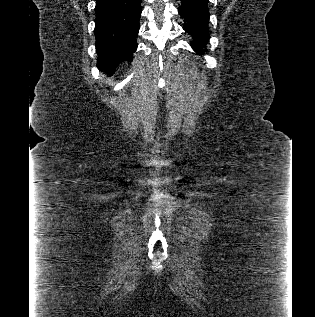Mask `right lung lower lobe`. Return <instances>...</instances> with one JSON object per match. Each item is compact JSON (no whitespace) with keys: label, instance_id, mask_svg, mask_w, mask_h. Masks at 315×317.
<instances>
[{"label":"right lung lower lobe","instance_id":"1","mask_svg":"<svg viewBox=\"0 0 315 317\" xmlns=\"http://www.w3.org/2000/svg\"><path fill=\"white\" fill-rule=\"evenodd\" d=\"M141 12V0H96L94 34L99 68L112 73L118 64L132 60Z\"/></svg>","mask_w":315,"mask_h":317}]
</instances>
